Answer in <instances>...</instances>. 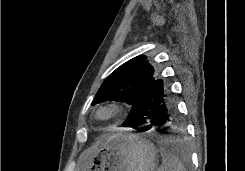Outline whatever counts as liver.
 <instances>
[{"label": "liver", "instance_id": "1", "mask_svg": "<svg viewBox=\"0 0 245 171\" xmlns=\"http://www.w3.org/2000/svg\"><path fill=\"white\" fill-rule=\"evenodd\" d=\"M111 139V136L107 135V136H103L98 143L94 146V149H96L98 146H102L104 144H106L109 140Z\"/></svg>", "mask_w": 245, "mask_h": 171}]
</instances>
